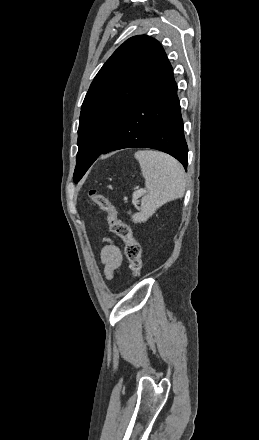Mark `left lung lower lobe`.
<instances>
[{
  "label": "left lung lower lobe",
  "instance_id": "obj_1",
  "mask_svg": "<svg viewBox=\"0 0 259 440\" xmlns=\"http://www.w3.org/2000/svg\"><path fill=\"white\" fill-rule=\"evenodd\" d=\"M131 147L163 151L179 160L185 170L187 168L188 148L184 138L177 84L165 52L147 86L99 156Z\"/></svg>",
  "mask_w": 259,
  "mask_h": 440
}]
</instances>
